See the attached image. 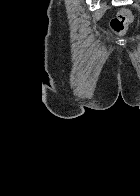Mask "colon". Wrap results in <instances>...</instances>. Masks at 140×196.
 Instances as JSON below:
<instances>
[{"mask_svg":"<svg viewBox=\"0 0 140 196\" xmlns=\"http://www.w3.org/2000/svg\"><path fill=\"white\" fill-rule=\"evenodd\" d=\"M133 19L134 15L129 9H122L110 20V28L115 34L123 35Z\"/></svg>","mask_w":140,"mask_h":196,"instance_id":"1","label":"colon"}]
</instances>
